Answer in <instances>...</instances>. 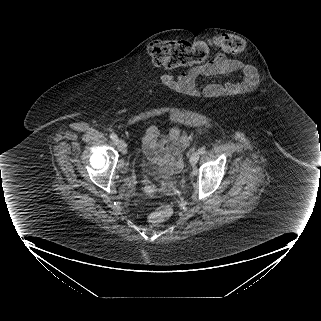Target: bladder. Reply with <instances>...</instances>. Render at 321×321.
Listing matches in <instances>:
<instances>
[{
	"label": "bladder",
	"mask_w": 321,
	"mask_h": 321,
	"mask_svg": "<svg viewBox=\"0 0 321 321\" xmlns=\"http://www.w3.org/2000/svg\"><path fill=\"white\" fill-rule=\"evenodd\" d=\"M146 157L147 158L141 162V168L154 177L161 176V178L165 179L166 177L162 175L161 171L156 166L155 161L148 156Z\"/></svg>",
	"instance_id": "bladder-1"
}]
</instances>
